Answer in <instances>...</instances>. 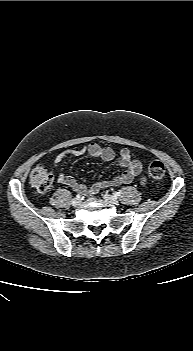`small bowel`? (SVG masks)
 <instances>
[{
    "instance_id": "c3829d8e",
    "label": "small bowel",
    "mask_w": 193,
    "mask_h": 351,
    "mask_svg": "<svg viewBox=\"0 0 193 351\" xmlns=\"http://www.w3.org/2000/svg\"><path fill=\"white\" fill-rule=\"evenodd\" d=\"M83 155H89L95 159H99L103 162H111L116 158L115 151L110 147H102L97 143H90L81 148L77 149H65L60 152L54 158V166L57 167L61 162L68 157H79ZM117 164L124 168V171L108 180H99L92 184L90 187L77 182L73 177L67 176L62 172H58L56 182L61 185L68 186L74 191L89 195L96 194L102 189L108 187H114L121 184H128L132 182L136 177L141 175L142 165L141 163L131 157V153L128 149H122L119 153Z\"/></svg>"
}]
</instances>
